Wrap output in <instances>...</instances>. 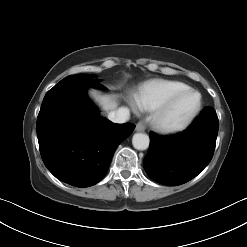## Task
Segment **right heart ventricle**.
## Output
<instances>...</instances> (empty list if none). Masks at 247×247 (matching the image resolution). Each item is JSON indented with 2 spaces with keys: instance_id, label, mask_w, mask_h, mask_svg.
<instances>
[{
  "instance_id": "obj_1",
  "label": "right heart ventricle",
  "mask_w": 247,
  "mask_h": 247,
  "mask_svg": "<svg viewBox=\"0 0 247 247\" xmlns=\"http://www.w3.org/2000/svg\"><path fill=\"white\" fill-rule=\"evenodd\" d=\"M190 88L179 81L155 79L145 83L135 95L137 107L152 111L167 101L172 95Z\"/></svg>"
}]
</instances>
